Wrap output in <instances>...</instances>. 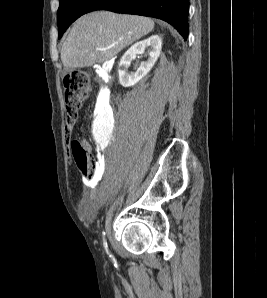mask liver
<instances>
[{
  "mask_svg": "<svg viewBox=\"0 0 267 298\" xmlns=\"http://www.w3.org/2000/svg\"><path fill=\"white\" fill-rule=\"evenodd\" d=\"M154 29V21L136 15L96 11L80 17L61 50L66 68L90 67L112 59Z\"/></svg>",
  "mask_w": 267,
  "mask_h": 298,
  "instance_id": "6515ba94",
  "label": "liver"
}]
</instances>
